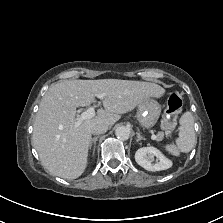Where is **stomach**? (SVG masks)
<instances>
[{"label": "stomach", "instance_id": "stomach-1", "mask_svg": "<svg viewBox=\"0 0 223 223\" xmlns=\"http://www.w3.org/2000/svg\"><path fill=\"white\" fill-rule=\"evenodd\" d=\"M160 113L161 106L159 103L152 98H148L138 106L136 116L143 129H150L156 124Z\"/></svg>", "mask_w": 223, "mask_h": 223}]
</instances>
